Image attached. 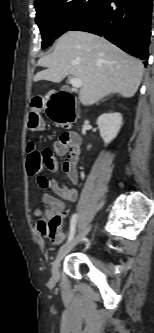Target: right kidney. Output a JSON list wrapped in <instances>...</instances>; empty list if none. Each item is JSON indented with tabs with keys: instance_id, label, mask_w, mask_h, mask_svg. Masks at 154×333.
I'll return each instance as SVG.
<instances>
[{
	"instance_id": "ca27d5eb",
	"label": "right kidney",
	"mask_w": 154,
	"mask_h": 333,
	"mask_svg": "<svg viewBox=\"0 0 154 333\" xmlns=\"http://www.w3.org/2000/svg\"><path fill=\"white\" fill-rule=\"evenodd\" d=\"M97 125L102 139L108 144L117 136L122 126V115L120 113L102 114L97 119Z\"/></svg>"
}]
</instances>
